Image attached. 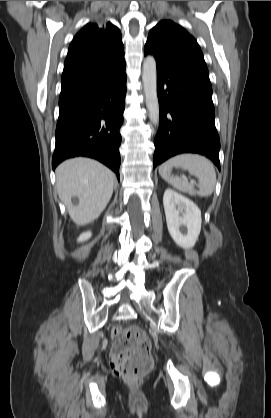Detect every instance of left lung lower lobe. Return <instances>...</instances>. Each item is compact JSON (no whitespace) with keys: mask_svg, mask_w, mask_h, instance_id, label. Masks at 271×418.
<instances>
[{"mask_svg":"<svg viewBox=\"0 0 271 418\" xmlns=\"http://www.w3.org/2000/svg\"><path fill=\"white\" fill-rule=\"evenodd\" d=\"M144 54H153L157 62L160 126L154 140V167L180 153H198L220 170V140L208 75L163 58L149 46Z\"/></svg>","mask_w":271,"mask_h":418,"instance_id":"left-lung-lower-lobe-1","label":"left lung lower lobe"}]
</instances>
